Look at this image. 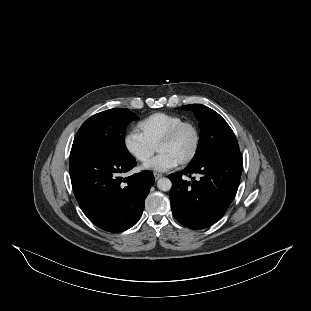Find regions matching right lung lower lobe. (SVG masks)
Wrapping results in <instances>:
<instances>
[{
  "label": "right lung lower lobe",
  "mask_w": 311,
  "mask_h": 311,
  "mask_svg": "<svg viewBox=\"0 0 311 311\" xmlns=\"http://www.w3.org/2000/svg\"><path fill=\"white\" fill-rule=\"evenodd\" d=\"M136 164L133 157L105 151H86L70 158L74 195L85 215L99 228L122 232L140 219L155 178L151 171L144 170L122 180L120 174Z\"/></svg>",
  "instance_id": "98d812e1"
}]
</instances>
